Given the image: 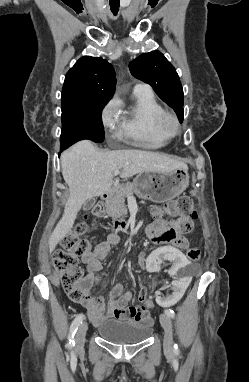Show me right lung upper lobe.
Instances as JSON below:
<instances>
[{"mask_svg": "<svg viewBox=\"0 0 249 382\" xmlns=\"http://www.w3.org/2000/svg\"><path fill=\"white\" fill-rule=\"evenodd\" d=\"M115 91L114 68L102 58L84 56L65 77L62 108L84 104L93 100H110Z\"/></svg>", "mask_w": 249, "mask_h": 382, "instance_id": "right-lung-upper-lobe-1", "label": "right lung upper lobe"}]
</instances>
